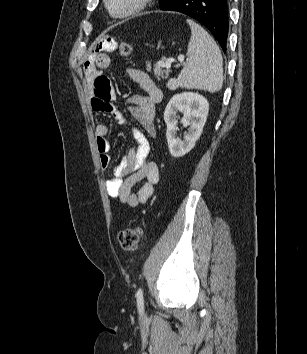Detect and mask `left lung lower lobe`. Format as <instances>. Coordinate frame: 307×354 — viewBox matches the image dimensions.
Instances as JSON below:
<instances>
[{"label": "left lung lower lobe", "mask_w": 307, "mask_h": 354, "mask_svg": "<svg viewBox=\"0 0 307 354\" xmlns=\"http://www.w3.org/2000/svg\"><path fill=\"white\" fill-rule=\"evenodd\" d=\"M162 10L184 13L203 24L226 51L229 27L228 0H170Z\"/></svg>", "instance_id": "1"}]
</instances>
